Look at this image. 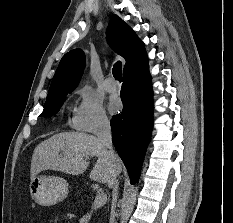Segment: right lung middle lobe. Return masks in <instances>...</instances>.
I'll return each mask as SVG.
<instances>
[{
  "label": "right lung middle lobe",
  "mask_w": 233,
  "mask_h": 223,
  "mask_svg": "<svg viewBox=\"0 0 233 223\" xmlns=\"http://www.w3.org/2000/svg\"><path fill=\"white\" fill-rule=\"evenodd\" d=\"M62 104H63V99L52 104L44 105V109L41 114L44 117H51L59 111Z\"/></svg>",
  "instance_id": "1"
}]
</instances>
